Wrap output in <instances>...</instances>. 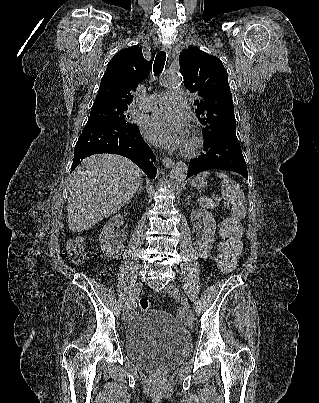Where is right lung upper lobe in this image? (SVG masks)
<instances>
[{
    "mask_svg": "<svg viewBox=\"0 0 319 403\" xmlns=\"http://www.w3.org/2000/svg\"><path fill=\"white\" fill-rule=\"evenodd\" d=\"M150 70L151 62L144 59L138 45L120 50L108 63L94 103L130 104L131 92Z\"/></svg>",
    "mask_w": 319,
    "mask_h": 403,
    "instance_id": "1",
    "label": "right lung upper lobe"
}]
</instances>
